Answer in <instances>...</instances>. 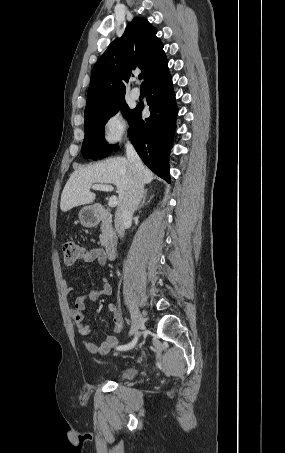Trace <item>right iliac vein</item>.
Returning a JSON list of instances; mask_svg holds the SVG:
<instances>
[{
	"instance_id": "1",
	"label": "right iliac vein",
	"mask_w": 285,
	"mask_h": 453,
	"mask_svg": "<svg viewBox=\"0 0 285 453\" xmlns=\"http://www.w3.org/2000/svg\"><path fill=\"white\" fill-rule=\"evenodd\" d=\"M130 309H131L132 324H131V329H130L129 334L134 335L138 332L139 329L142 328L144 322H143V317L141 315V312L135 304H132Z\"/></svg>"
}]
</instances>
